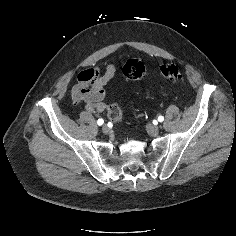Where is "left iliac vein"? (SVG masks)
Wrapping results in <instances>:
<instances>
[{
    "mask_svg": "<svg viewBox=\"0 0 236 236\" xmlns=\"http://www.w3.org/2000/svg\"><path fill=\"white\" fill-rule=\"evenodd\" d=\"M146 130L152 136H155V135L159 134V131H160L158 126L152 125V124H147L146 125Z\"/></svg>",
    "mask_w": 236,
    "mask_h": 236,
    "instance_id": "1",
    "label": "left iliac vein"
}]
</instances>
